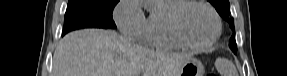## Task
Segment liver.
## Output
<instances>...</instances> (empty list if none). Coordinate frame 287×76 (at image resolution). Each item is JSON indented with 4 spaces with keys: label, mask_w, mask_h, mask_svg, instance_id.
<instances>
[{
    "label": "liver",
    "mask_w": 287,
    "mask_h": 76,
    "mask_svg": "<svg viewBox=\"0 0 287 76\" xmlns=\"http://www.w3.org/2000/svg\"><path fill=\"white\" fill-rule=\"evenodd\" d=\"M189 58L144 48L114 31L85 29L59 42L52 76H178Z\"/></svg>",
    "instance_id": "1"
}]
</instances>
